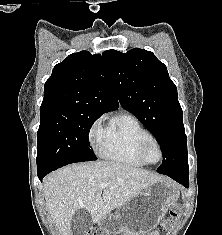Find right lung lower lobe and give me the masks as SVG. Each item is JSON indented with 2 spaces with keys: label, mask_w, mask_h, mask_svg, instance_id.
<instances>
[{
  "label": "right lung lower lobe",
  "mask_w": 222,
  "mask_h": 235,
  "mask_svg": "<svg viewBox=\"0 0 222 235\" xmlns=\"http://www.w3.org/2000/svg\"><path fill=\"white\" fill-rule=\"evenodd\" d=\"M53 170H45L42 172H37L38 178L40 179V181H42L43 177L46 176L48 173H50Z\"/></svg>",
  "instance_id": "right-lung-lower-lobe-1"
}]
</instances>
